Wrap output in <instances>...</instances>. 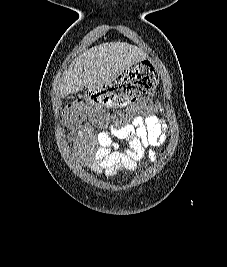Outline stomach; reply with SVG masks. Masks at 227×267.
<instances>
[{"label":"stomach","mask_w":227,"mask_h":267,"mask_svg":"<svg viewBox=\"0 0 227 267\" xmlns=\"http://www.w3.org/2000/svg\"><path fill=\"white\" fill-rule=\"evenodd\" d=\"M105 87H91L86 92L84 104H99L102 107H127V104H138L151 96L159 86L156 70L147 58H141L129 64L118 77H111Z\"/></svg>","instance_id":"1"}]
</instances>
